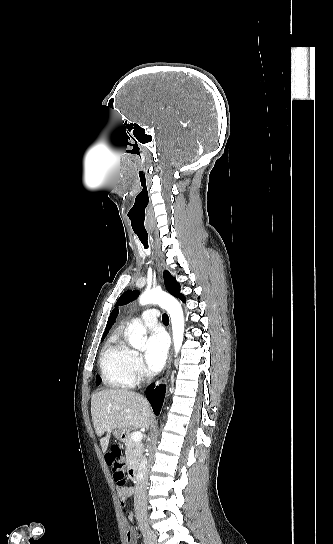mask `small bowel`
<instances>
[{"instance_id": "c3829d8e", "label": "small bowel", "mask_w": 333, "mask_h": 544, "mask_svg": "<svg viewBox=\"0 0 333 544\" xmlns=\"http://www.w3.org/2000/svg\"><path fill=\"white\" fill-rule=\"evenodd\" d=\"M117 492L119 494V497L122 502H125L127 499H129L133 493L134 489L131 486H118ZM137 535L136 531L132 526H128L127 529V543L128 544H136Z\"/></svg>"}]
</instances>
